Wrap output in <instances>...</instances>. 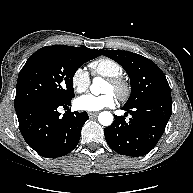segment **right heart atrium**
Listing matches in <instances>:
<instances>
[{
  "label": "right heart atrium",
  "mask_w": 193,
  "mask_h": 193,
  "mask_svg": "<svg viewBox=\"0 0 193 193\" xmlns=\"http://www.w3.org/2000/svg\"><path fill=\"white\" fill-rule=\"evenodd\" d=\"M70 82L75 92H85L90 86L89 73L83 67H78L73 71Z\"/></svg>",
  "instance_id": "1"
}]
</instances>
